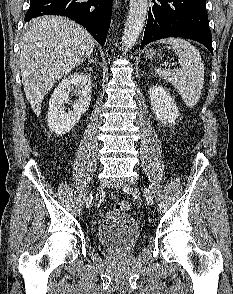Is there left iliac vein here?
<instances>
[{
    "label": "left iliac vein",
    "mask_w": 233,
    "mask_h": 294,
    "mask_svg": "<svg viewBox=\"0 0 233 294\" xmlns=\"http://www.w3.org/2000/svg\"><path fill=\"white\" fill-rule=\"evenodd\" d=\"M123 190L126 191V192H129V191H134L135 194H137V197L138 198H141L142 197V194L140 192L139 189L135 188V189H132L130 186H124L123 187ZM149 191V190H148Z\"/></svg>",
    "instance_id": "4c4485c4"
}]
</instances>
